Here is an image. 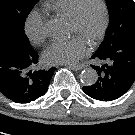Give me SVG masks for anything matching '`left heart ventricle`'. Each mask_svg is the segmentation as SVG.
I'll use <instances>...</instances> for the list:
<instances>
[{
    "label": "left heart ventricle",
    "instance_id": "left-heart-ventricle-1",
    "mask_svg": "<svg viewBox=\"0 0 135 135\" xmlns=\"http://www.w3.org/2000/svg\"><path fill=\"white\" fill-rule=\"evenodd\" d=\"M102 21V11L100 5L96 1L86 4L82 12L81 24L76 27L69 22L70 32L78 34L87 42L98 31Z\"/></svg>",
    "mask_w": 135,
    "mask_h": 135
}]
</instances>
